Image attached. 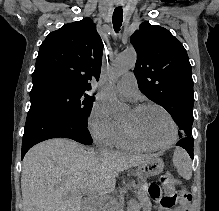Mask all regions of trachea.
I'll return each instance as SVG.
<instances>
[{
    "mask_svg": "<svg viewBox=\"0 0 219 211\" xmlns=\"http://www.w3.org/2000/svg\"><path fill=\"white\" fill-rule=\"evenodd\" d=\"M122 21H123V10L122 7L120 6L115 8L112 17L113 28L116 33L120 31V28L122 26Z\"/></svg>",
    "mask_w": 219,
    "mask_h": 211,
    "instance_id": "3493384b",
    "label": "trachea"
}]
</instances>
